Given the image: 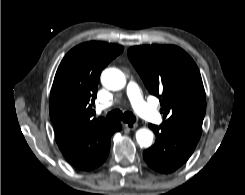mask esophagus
Returning <instances> with one entry per match:
<instances>
[{"label":"esophagus","mask_w":245,"mask_h":195,"mask_svg":"<svg viewBox=\"0 0 245 195\" xmlns=\"http://www.w3.org/2000/svg\"><path fill=\"white\" fill-rule=\"evenodd\" d=\"M124 126L127 129L134 130V129H136L138 127V124H136V123H126Z\"/></svg>","instance_id":"34e87169"}]
</instances>
